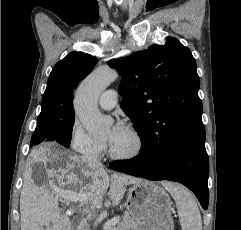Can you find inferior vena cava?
I'll list each match as a JSON object with an SVG mask.
<instances>
[{
	"mask_svg": "<svg viewBox=\"0 0 241 230\" xmlns=\"http://www.w3.org/2000/svg\"><path fill=\"white\" fill-rule=\"evenodd\" d=\"M83 160L92 166H101L100 160L95 155H85Z\"/></svg>",
	"mask_w": 241,
	"mask_h": 230,
	"instance_id": "obj_1",
	"label": "inferior vena cava"
}]
</instances>
